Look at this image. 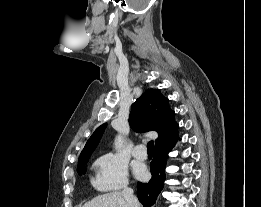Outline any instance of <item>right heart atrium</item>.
Segmentation results:
<instances>
[{"instance_id":"obj_1","label":"right heart atrium","mask_w":261,"mask_h":207,"mask_svg":"<svg viewBox=\"0 0 261 207\" xmlns=\"http://www.w3.org/2000/svg\"><path fill=\"white\" fill-rule=\"evenodd\" d=\"M94 186L103 192L116 191L128 185V166L117 155L108 153L95 162Z\"/></svg>"}]
</instances>
